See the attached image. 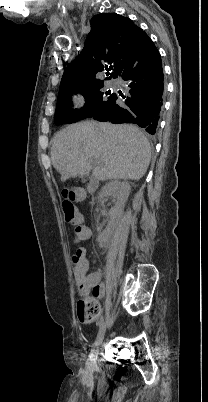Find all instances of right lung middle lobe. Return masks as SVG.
I'll list each match as a JSON object with an SVG mask.
<instances>
[{
    "instance_id": "right-lung-middle-lobe-1",
    "label": "right lung middle lobe",
    "mask_w": 208,
    "mask_h": 402,
    "mask_svg": "<svg viewBox=\"0 0 208 402\" xmlns=\"http://www.w3.org/2000/svg\"><path fill=\"white\" fill-rule=\"evenodd\" d=\"M103 81L96 80L87 84L59 92L55 124H69L82 119L93 117L96 113L109 110L115 100V93L102 91ZM81 93L84 95L86 104L80 110L69 107L71 95Z\"/></svg>"
}]
</instances>
